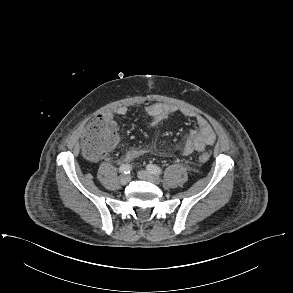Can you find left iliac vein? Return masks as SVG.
I'll use <instances>...</instances> for the list:
<instances>
[{
    "mask_svg": "<svg viewBox=\"0 0 293 293\" xmlns=\"http://www.w3.org/2000/svg\"><path fill=\"white\" fill-rule=\"evenodd\" d=\"M138 177L142 180H146V181H149L151 183H154V184H159L160 183V178L153 175L152 173L148 172V171H144V170H141L138 172Z\"/></svg>",
    "mask_w": 293,
    "mask_h": 293,
    "instance_id": "obj_1",
    "label": "left iliac vein"
}]
</instances>
